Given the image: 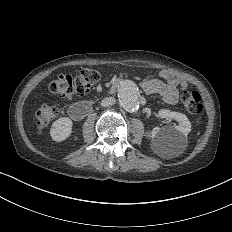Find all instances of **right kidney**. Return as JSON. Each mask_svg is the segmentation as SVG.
Here are the masks:
<instances>
[{
  "label": "right kidney",
  "instance_id": "1",
  "mask_svg": "<svg viewBox=\"0 0 232 232\" xmlns=\"http://www.w3.org/2000/svg\"><path fill=\"white\" fill-rule=\"evenodd\" d=\"M72 122L68 118H61L54 122L50 131L51 136L54 140H64L71 131Z\"/></svg>",
  "mask_w": 232,
  "mask_h": 232
}]
</instances>
